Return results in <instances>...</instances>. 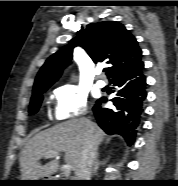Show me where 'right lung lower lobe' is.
<instances>
[{"label": "right lung lower lobe", "instance_id": "right-lung-lower-lobe-1", "mask_svg": "<svg viewBox=\"0 0 178 186\" xmlns=\"http://www.w3.org/2000/svg\"><path fill=\"white\" fill-rule=\"evenodd\" d=\"M109 81L118 86L117 94L111 99L114 107L102 108L101 103L106 102L107 98H100L93 107L97 123L107 134L121 135L128 144H132L147 96L144 63L139 61L124 68Z\"/></svg>", "mask_w": 178, "mask_h": 186}]
</instances>
